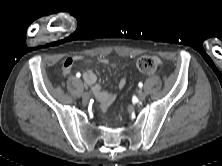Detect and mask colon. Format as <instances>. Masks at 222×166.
<instances>
[{"label":"colon","mask_w":222,"mask_h":166,"mask_svg":"<svg viewBox=\"0 0 222 166\" xmlns=\"http://www.w3.org/2000/svg\"><path fill=\"white\" fill-rule=\"evenodd\" d=\"M160 61L153 56H142L136 62L137 69L144 74H153L159 68Z\"/></svg>","instance_id":"colon-1"}]
</instances>
